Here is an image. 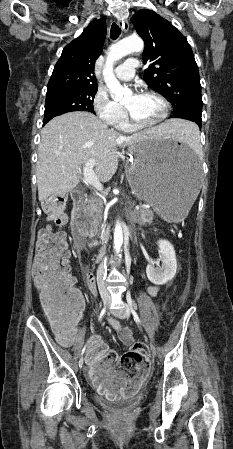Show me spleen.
Returning a JSON list of instances; mask_svg holds the SVG:
<instances>
[{"label":"spleen","mask_w":233,"mask_h":449,"mask_svg":"<svg viewBox=\"0 0 233 449\" xmlns=\"http://www.w3.org/2000/svg\"><path fill=\"white\" fill-rule=\"evenodd\" d=\"M197 125H181V131H178L177 138L181 142H185L192 146L194 149L199 148L198 135H197Z\"/></svg>","instance_id":"obj_1"}]
</instances>
